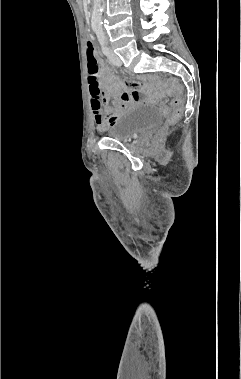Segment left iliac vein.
<instances>
[{
	"label": "left iliac vein",
	"instance_id": "left-iliac-vein-1",
	"mask_svg": "<svg viewBox=\"0 0 241 379\" xmlns=\"http://www.w3.org/2000/svg\"><path fill=\"white\" fill-rule=\"evenodd\" d=\"M108 59L109 61L116 65V66H121L122 65V61L121 59L119 58V56L117 54H115L113 51H109V55H108Z\"/></svg>",
	"mask_w": 241,
	"mask_h": 379
}]
</instances>
